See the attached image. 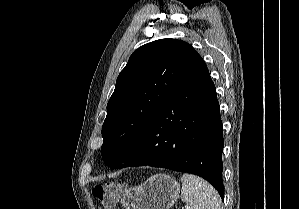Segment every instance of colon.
Returning <instances> with one entry per match:
<instances>
[{
	"label": "colon",
	"instance_id": "obj_1",
	"mask_svg": "<svg viewBox=\"0 0 299 209\" xmlns=\"http://www.w3.org/2000/svg\"><path fill=\"white\" fill-rule=\"evenodd\" d=\"M124 189L123 184L107 182L96 185L92 194L100 202L101 209H111L120 200Z\"/></svg>",
	"mask_w": 299,
	"mask_h": 209
}]
</instances>
